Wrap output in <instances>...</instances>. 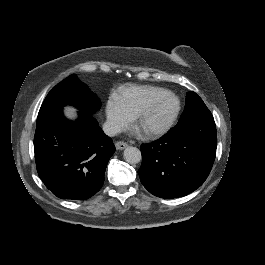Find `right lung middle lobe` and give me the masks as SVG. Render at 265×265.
Listing matches in <instances>:
<instances>
[{"label": "right lung middle lobe", "instance_id": "right-lung-middle-lobe-1", "mask_svg": "<svg viewBox=\"0 0 265 265\" xmlns=\"http://www.w3.org/2000/svg\"><path fill=\"white\" fill-rule=\"evenodd\" d=\"M65 105H73L79 113L92 115L100 109L96 95L75 74L57 84L46 96L38 113L37 123Z\"/></svg>", "mask_w": 265, "mask_h": 265}]
</instances>
